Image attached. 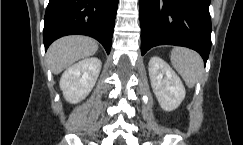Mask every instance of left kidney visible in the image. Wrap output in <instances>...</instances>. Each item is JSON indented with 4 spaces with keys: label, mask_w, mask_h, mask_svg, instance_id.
I'll return each mask as SVG.
<instances>
[{
    "label": "left kidney",
    "mask_w": 243,
    "mask_h": 145,
    "mask_svg": "<svg viewBox=\"0 0 243 145\" xmlns=\"http://www.w3.org/2000/svg\"><path fill=\"white\" fill-rule=\"evenodd\" d=\"M149 77L153 92L164 111L179 107L185 98V88L173 69L160 57L149 61Z\"/></svg>",
    "instance_id": "5707ae66"
}]
</instances>
